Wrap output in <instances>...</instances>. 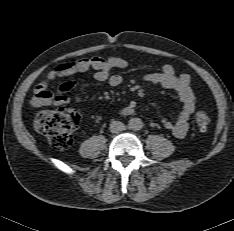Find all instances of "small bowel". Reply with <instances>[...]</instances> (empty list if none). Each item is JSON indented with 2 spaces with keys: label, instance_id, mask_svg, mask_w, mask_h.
<instances>
[{
  "label": "small bowel",
  "instance_id": "1",
  "mask_svg": "<svg viewBox=\"0 0 234 231\" xmlns=\"http://www.w3.org/2000/svg\"><path fill=\"white\" fill-rule=\"evenodd\" d=\"M129 61L118 56L83 58L71 64L60 65L50 70L41 82H39L31 99L34 107L48 105H64L74 102H83L88 99L89 93L87 88L76 81H69L62 84L60 92L53 94L49 91V86L56 79L67 77L78 72H85L94 69V78L100 82H107L111 87H118L122 84L123 79L119 74L112 73L113 70L125 69ZM141 81L157 84L166 89L177 92L181 101V109L175 121L163 118L162 123L165 128L170 130L177 138H184L188 132V121L195 110L196 97L190 85V76L188 74L176 75L171 65H163L159 71L144 73L140 76ZM76 89L73 98L66 95L72 89ZM137 109L135 101L119 109L123 115L134 114Z\"/></svg>",
  "mask_w": 234,
  "mask_h": 231
}]
</instances>
